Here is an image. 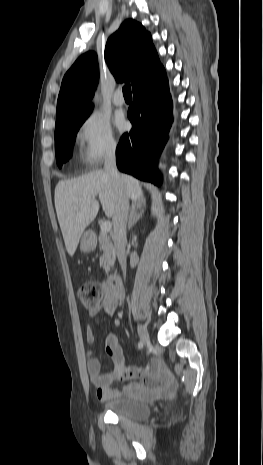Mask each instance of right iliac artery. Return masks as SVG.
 <instances>
[{
  "label": "right iliac artery",
  "instance_id": "1",
  "mask_svg": "<svg viewBox=\"0 0 263 465\" xmlns=\"http://www.w3.org/2000/svg\"><path fill=\"white\" fill-rule=\"evenodd\" d=\"M138 348H139V349L143 348V343H142V342H139V343H138Z\"/></svg>",
  "mask_w": 263,
  "mask_h": 465
}]
</instances>
